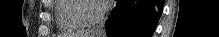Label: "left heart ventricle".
<instances>
[{"label": "left heart ventricle", "mask_w": 219, "mask_h": 37, "mask_svg": "<svg viewBox=\"0 0 219 37\" xmlns=\"http://www.w3.org/2000/svg\"><path fill=\"white\" fill-rule=\"evenodd\" d=\"M101 10V6L98 2H91L89 4V12L93 15H97Z\"/></svg>", "instance_id": "left-heart-ventricle-1"}]
</instances>
